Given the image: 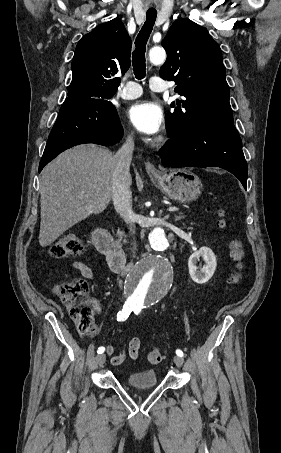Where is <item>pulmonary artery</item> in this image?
Returning a JSON list of instances; mask_svg holds the SVG:
<instances>
[{"label": "pulmonary artery", "instance_id": "pulmonary-artery-1", "mask_svg": "<svg viewBox=\"0 0 281 453\" xmlns=\"http://www.w3.org/2000/svg\"><path fill=\"white\" fill-rule=\"evenodd\" d=\"M161 81L159 77H152L150 79V88L154 91H163L167 88L162 85H156L154 82ZM142 94V89L139 84L135 82H129L121 92V96L124 99H134Z\"/></svg>", "mask_w": 281, "mask_h": 453}]
</instances>
